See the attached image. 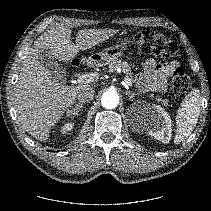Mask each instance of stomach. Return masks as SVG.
Segmentation results:
<instances>
[{
  "label": "stomach",
  "instance_id": "stomach-1",
  "mask_svg": "<svg viewBox=\"0 0 211 211\" xmlns=\"http://www.w3.org/2000/svg\"><path fill=\"white\" fill-rule=\"evenodd\" d=\"M129 43V39H123L113 46L104 49L101 53L93 55L92 57H90V59L96 62L97 65L111 63L124 54L127 44Z\"/></svg>",
  "mask_w": 211,
  "mask_h": 211
}]
</instances>
